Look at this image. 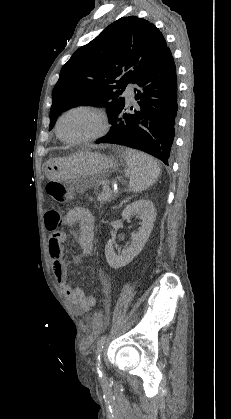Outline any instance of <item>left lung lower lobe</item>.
<instances>
[{"label":"left lung lower lobe","instance_id":"0a47b994","mask_svg":"<svg viewBox=\"0 0 231 419\" xmlns=\"http://www.w3.org/2000/svg\"><path fill=\"white\" fill-rule=\"evenodd\" d=\"M136 108L125 104L111 119L109 133L96 143H114L145 151L168 165L177 115V76L171 51L150 67L135 83Z\"/></svg>","mask_w":231,"mask_h":419}]
</instances>
